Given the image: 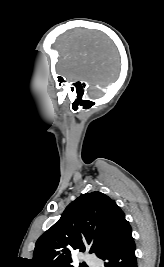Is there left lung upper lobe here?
<instances>
[{
  "instance_id": "5c2ea615",
  "label": "left lung upper lobe",
  "mask_w": 164,
  "mask_h": 267,
  "mask_svg": "<svg viewBox=\"0 0 164 267\" xmlns=\"http://www.w3.org/2000/svg\"><path fill=\"white\" fill-rule=\"evenodd\" d=\"M126 222L123 211L107 195L82 194L66 207L58 222L38 238L30 264L32 267H73L71 252L89 250L98 256ZM81 266L87 267L85 263Z\"/></svg>"
}]
</instances>
